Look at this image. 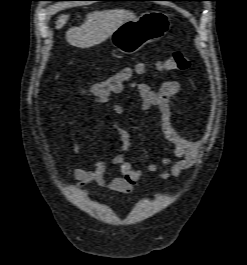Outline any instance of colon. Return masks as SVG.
Listing matches in <instances>:
<instances>
[{"instance_id":"obj_1","label":"colon","mask_w":247,"mask_h":265,"mask_svg":"<svg viewBox=\"0 0 247 265\" xmlns=\"http://www.w3.org/2000/svg\"><path fill=\"white\" fill-rule=\"evenodd\" d=\"M156 67L161 71H184L190 67V59L184 51L176 50L167 60L158 63ZM143 71L144 66L142 64L125 66L106 79L84 88L82 93L97 104H108L113 94L120 93L127 82L131 81L136 75L143 73Z\"/></svg>"}]
</instances>
